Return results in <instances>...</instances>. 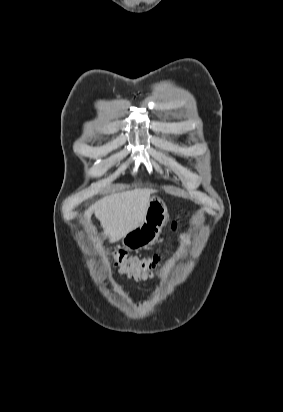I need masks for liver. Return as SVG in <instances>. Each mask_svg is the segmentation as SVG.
Wrapping results in <instances>:
<instances>
[{
  "instance_id": "liver-1",
  "label": "liver",
  "mask_w": 283,
  "mask_h": 412,
  "mask_svg": "<svg viewBox=\"0 0 283 412\" xmlns=\"http://www.w3.org/2000/svg\"><path fill=\"white\" fill-rule=\"evenodd\" d=\"M154 192L152 189H134L106 196L91 205L84 218L89 223L94 212L104 230L103 235L111 243L117 242L144 221L150 195Z\"/></svg>"
}]
</instances>
